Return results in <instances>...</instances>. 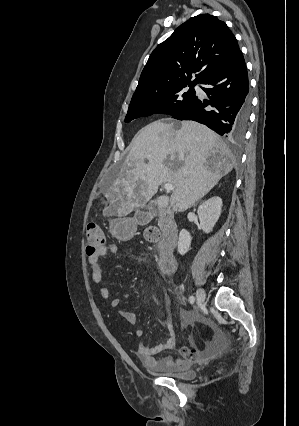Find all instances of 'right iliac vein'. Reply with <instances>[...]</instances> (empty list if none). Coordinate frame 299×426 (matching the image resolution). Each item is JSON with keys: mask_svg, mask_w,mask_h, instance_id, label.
Listing matches in <instances>:
<instances>
[{"mask_svg": "<svg viewBox=\"0 0 299 426\" xmlns=\"http://www.w3.org/2000/svg\"><path fill=\"white\" fill-rule=\"evenodd\" d=\"M206 299V293L202 288H199L196 292V300L199 305H202Z\"/></svg>", "mask_w": 299, "mask_h": 426, "instance_id": "63e3f726", "label": "right iliac vein"}]
</instances>
